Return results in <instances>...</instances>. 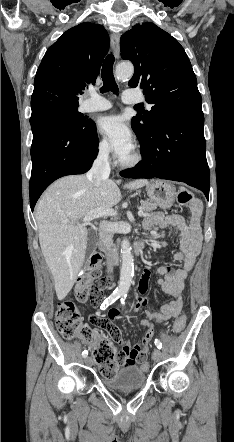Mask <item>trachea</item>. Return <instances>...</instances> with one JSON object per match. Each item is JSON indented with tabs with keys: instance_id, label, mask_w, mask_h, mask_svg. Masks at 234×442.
<instances>
[{
	"instance_id": "1",
	"label": "trachea",
	"mask_w": 234,
	"mask_h": 442,
	"mask_svg": "<svg viewBox=\"0 0 234 442\" xmlns=\"http://www.w3.org/2000/svg\"><path fill=\"white\" fill-rule=\"evenodd\" d=\"M114 60L113 54H108L103 63L101 76L104 84L100 88L101 93L108 91H112L115 94L118 93V86L113 75ZM136 107H138V105Z\"/></svg>"
}]
</instances>
